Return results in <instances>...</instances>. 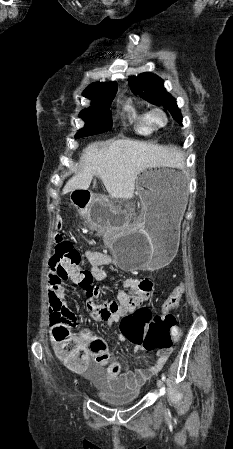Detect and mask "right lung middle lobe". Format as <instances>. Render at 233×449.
Returning <instances> with one entry per match:
<instances>
[{
	"label": "right lung middle lobe",
	"mask_w": 233,
	"mask_h": 449,
	"mask_svg": "<svg viewBox=\"0 0 233 449\" xmlns=\"http://www.w3.org/2000/svg\"><path fill=\"white\" fill-rule=\"evenodd\" d=\"M115 94L94 98L89 108L82 110L80 117L85 127L75 135L76 138L90 136L107 131L112 126L110 105Z\"/></svg>",
	"instance_id": "obj_1"
}]
</instances>
